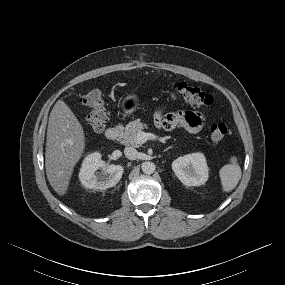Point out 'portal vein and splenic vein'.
<instances>
[{
	"instance_id": "1",
	"label": "portal vein and splenic vein",
	"mask_w": 285,
	"mask_h": 285,
	"mask_svg": "<svg viewBox=\"0 0 285 285\" xmlns=\"http://www.w3.org/2000/svg\"><path fill=\"white\" fill-rule=\"evenodd\" d=\"M156 136L152 133H146V132H143V131H140L137 136H136V142L141 145V144H144L147 140H152V139H155Z\"/></svg>"
}]
</instances>
